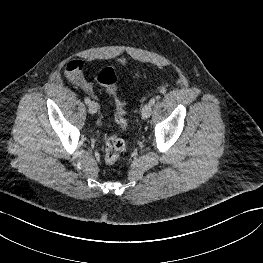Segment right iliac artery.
Instances as JSON below:
<instances>
[{"label":"right iliac artery","instance_id":"obj_1","mask_svg":"<svg viewBox=\"0 0 263 263\" xmlns=\"http://www.w3.org/2000/svg\"><path fill=\"white\" fill-rule=\"evenodd\" d=\"M84 100H85V103H86V104H89V103L91 102L90 99H89V97H85Z\"/></svg>","mask_w":263,"mask_h":263}]
</instances>
